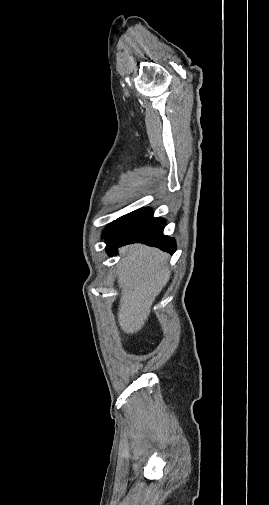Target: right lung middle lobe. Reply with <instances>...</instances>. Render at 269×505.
Instances as JSON below:
<instances>
[{
  "label": "right lung middle lobe",
  "mask_w": 269,
  "mask_h": 505,
  "mask_svg": "<svg viewBox=\"0 0 269 505\" xmlns=\"http://www.w3.org/2000/svg\"><path fill=\"white\" fill-rule=\"evenodd\" d=\"M111 224H112V223H111ZM111 224H110V225H108V226H107V228L104 230L103 235H102L103 237L105 236V234H106V233H107V231L109 230V228H110Z\"/></svg>",
  "instance_id": "obj_1"
}]
</instances>
